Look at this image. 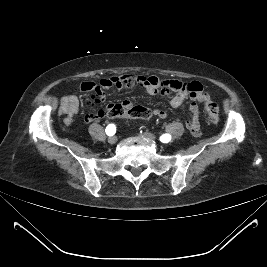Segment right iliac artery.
I'll return each mask as SVG.
<instances>
[{"mask_svg": "<svg viewBox=\"0 0 267 267\" xmlns=\"http://www.w3.org/2000/svg\"><path fill=\"white\" fill-rule=\"evenodd\" d=\"M106 134L108 135V136H112V135H114L115 134V132H116V127H115V125L114 124H109L107 127H106Z\"/></svg>", "mask_w": 267, "mask_h": 267, "instance_id": "right-iliac-artery-1", "label": "right iliac artery"}]
</instances>
